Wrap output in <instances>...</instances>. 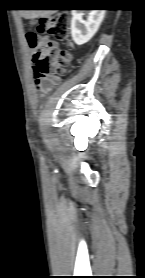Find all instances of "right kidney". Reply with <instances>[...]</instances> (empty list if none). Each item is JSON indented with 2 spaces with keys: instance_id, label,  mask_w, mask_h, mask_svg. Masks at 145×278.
Here are the masks:
<instances>
[{
  "instance_id": "obj_1",
  "label": "right kidney",
  "mask_w": 145,
  "mask_h": 278,
  "mask_svg": "<svg viewBox=\"0 0 145 278\" xmlns=\"http://www.w3.org/2000/svg\"><path fill=\"white\" fill-rule=\"evenodd\" d=\"M86 19H83V16ZM105 10H72L71 35L77 45L87 43L97 32Z\"/></svg>"
}]
</instances>
